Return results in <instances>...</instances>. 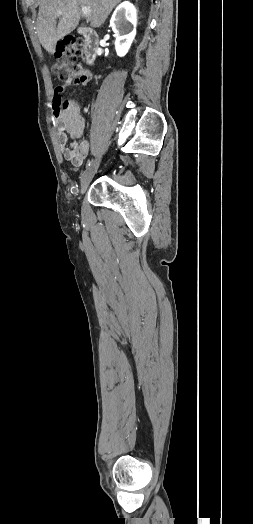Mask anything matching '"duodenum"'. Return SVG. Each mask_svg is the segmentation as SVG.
<instances>
[{
	"label": "duodenum",
	"instance_id": "duodenum-1",
	"mask_svg": "<svg viewBox=\"0 0 253 524\" xmlns=\"http://www.w3.org/2000/svg\"><path fill=\"white\" fill-rule=\"evenodd\" d=\"M81 35L85 40L84 57L89 64L93 63L99 49V36L96 31L91 28L84 27L80 30Z\"/></svg>",
	"mask_w": 253,
	"mask_h": 524
}]
</instances>
